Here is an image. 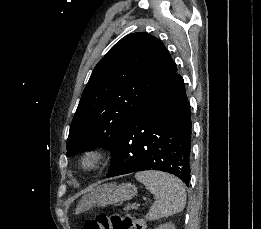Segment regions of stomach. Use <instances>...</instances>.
<instances>
[{
  "label": "stomach",
  "instance_id": "obj_1",
  "mask_svg": "<svg viewBox=\"0 0 261 229\" xmlns=\"http://www.w3.org/2000/svg\"><path fill=\"white\" fill-rule=\"evenodd\" d=\"M137 193L135 185L131 183H122V185H96L86 195V201L91 207H106V205H114V203H124L130 201Z\"/></svg>",
  "mask_w": 261,
  "mask_h": 229
}]
</instances>
